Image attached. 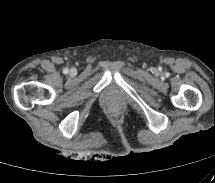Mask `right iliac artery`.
<instances>
[{
	"label": "right iliac artery",
	"instance_id": "obj_1",
	"mask_svg": "<svg viewBox=\"0 0 215 183\" xmlns=\"http://www.w3.org/2000/svg\"><path fill=\"white\" fill-rule=\"evenodd\" d=\"M63 72H64L65 74H67V73H68V69H64Z\"/></svg>",
	"mask_w": 215,
	"mask_h": 183
}]
</instances>
